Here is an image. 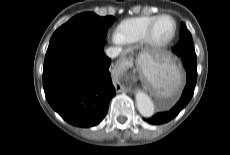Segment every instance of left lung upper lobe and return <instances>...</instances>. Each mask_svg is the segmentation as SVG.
<instances>
[{"instance_id": "left-lung-upper-lobe-1", "label": "left lung upper lobe", "mask_w": 230, "mask_h": 155, "mask_svg": "<svg viewBox=\"0 0 230 155\" xmlns=\"http://www.w3.org/2000/svg\"><path fill=\"white\" fill-rule=\"evenodd\" d=\"M173 51L181 57L193 56V58H196L191 33L184 23H181L180 40L178 44L173 48Z\"/></svg>"}]
</instances>
